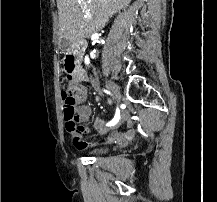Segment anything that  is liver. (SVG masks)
<instances>
[{
	"mask_svg": "<svg viewBox=\"0 0 217 202\" xmlns=\"http://www.w3.org/2000/svg\"><path fill=\"white\" fill-rule=\"evenodd\" d=\"M131 0H57L59 34L69 42H79L99 32L118 10Z\"/></svg>",
	"mask_w": 217,
	"mask_h": 202,
	"instance_id": "obj_1",
	"label": "liver"
}]
</instances>
